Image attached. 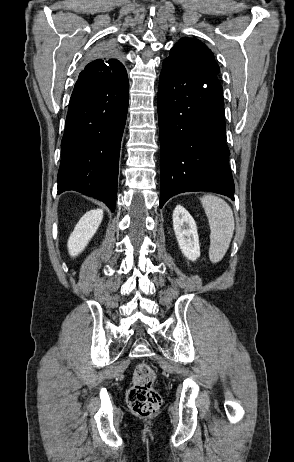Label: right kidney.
I'll list each match as a JSON object with an SVG mask.
<instances>
[{
  "label": "right kidney",
  "mask_w": 294,
  "mask_h": 462,
  "mask_svg": "<svg viewBox=\"0 0 294 462\" xmlns=\"http://www.w3.org/2000/svg\"><path fill=\"white\" fill-rule=\"evenodd\" d=\"M103 219V210L95 209L86 212L76 224L68 239V251L75 257L81 253L96 233Z\"/></svg>",
  "instance_id": "ca27d5eb"
}]
</instances>
